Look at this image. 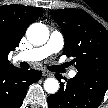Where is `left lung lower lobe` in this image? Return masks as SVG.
I'll use <instances>...</instances> for the list:
<instances>
[{
  "label": "left lung lower lobe",
  "mask_w": 108,
  "mask_h": 108,
  "mask_svg": "<svg viewBox=\"0 0 108 108\" xmlns=\"http://www.w3.org/2000/svg\"><path fill=\"white\" fill-rule=\"evenodd\" d=\"M61 79V75H56ZM108 89V71L79 74L61 83L59 91L48 97L49 108H97Z\"/></svg>",
  "instance_id": "obj_1"
}]
</instances>
